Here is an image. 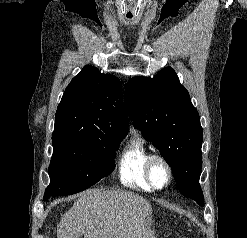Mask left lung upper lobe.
Instances as JSON below:
<instances>
[{
  "mask_svg": "<svg viewBox=\"0 0 247 238\" xmlns=\"http://www.w3.org/2000/svg\"><path fill=\"white\" fill-rule=\"evenodd\" d=\"M124 103L144 138L171 166L179 191L203 206L199 184L203 130L199 114L176 72L167 67L153 78L130 79Z\"/></svg>",
  "mask_w": 247,
  "mask_h": 238,
  "instance_id": "5c2ea615",
  "label": "left lung upper lobe"
}]
</instances>
